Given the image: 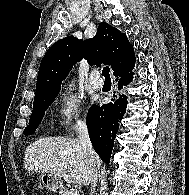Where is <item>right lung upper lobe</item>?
Wrapping results in <instances>:
<instances>
[{
    "label": "right lung upper lobe",
    "instance_id": "obj_1",
    "mask_svg": "<svg viewBox=\"0 0 189 195\" xmlns=\"http://www.w3.org/2000/svg\"><path fill=\"white\" fill-rule=\"evenodd\" d=\"M82 58L90 65H110L117 78L135 66L134 49L126 35L106 22L100 23L91 39L68 36L49 48L40 64L34 103L58 94L62 81Z\"/></svg>",
    "mask_w": 189,
    "mask_h": 195
}]
</instances>
